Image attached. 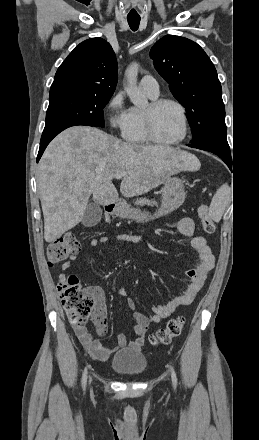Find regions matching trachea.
Returning <instances> with one entry per match:
<instances>
[{
	"instance_id": "1",
	"label": "trachea",
	"mask_w": 259,
	"mask_h": 440,
	"mask_svg": "<svg viewBox=\"0 0 259 440\" xmlns=\"http://www.w3.org/2000/svg\"><path fill=\"white\" fill-rule=\"evenodd\" d=\"M128 24L133 31L139 28L140 18H128Z\"/></svg>"
}]
</instances>
